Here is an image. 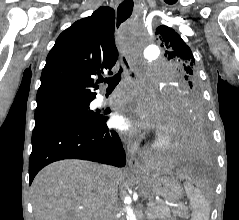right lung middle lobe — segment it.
Listing matches in <instances>:
<instances>
[{"instance_id":"right-lung-middle-lobe-1","label":"right lung middle lobe","mask_w":239,"mask_h":220,"mask_svg":"<svg viewBox=\"0 0 239 220\" xmlns=\"http://www.w3.org/2000/svg\"><path fill=\"white\" fill-rule=\"evenodd\" d=\"M90 102L79 104H57L36 108L35 122L64 123L76 126H94L100 115L89 110Z\"/></svg>"}]
</instances>
